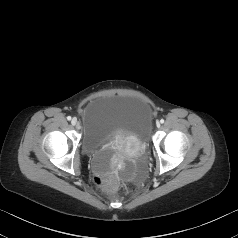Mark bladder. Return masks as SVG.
I'll return each instance as SVG.
<instances>
[{
    "instance_id": "31cf9c89",
    "label": "bladder",
    "mask_w": 238,
    "mask_h": 238,
    "mask_svg": "<svg viewBox=\"0 0 238 238\" xmlns=\"http://www.w3.org/2000/svg\"><path fill=\"white\" fill-rule=\"evenodd\" d=\"M152 108L135 95L105 94L89 100L81 112L82 149L97 174L113 171L108 146L135 139L144 144L151 132Z\"/></svg>"
}]
</instances>
